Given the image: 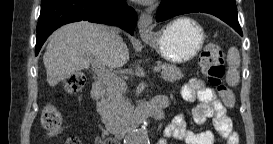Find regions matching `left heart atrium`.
Masks as SVG:
<instances>
[{
	"label": "left heart atrium",
	"mask_w": 273,
	"mask_h": 144,
	"mask_svg": "<svg viewBox=\"0 0 273 144\" xmlns=\"http://www.w3.org/2000/svg\"><path fill=\"white\" fill-rule=\"evenodd\" d=\"M141 1L142 3H145V4H150L153 2V0H139Z\"/></svg>",
	"instance_id": "39dd6f15"
}]
</instances>
